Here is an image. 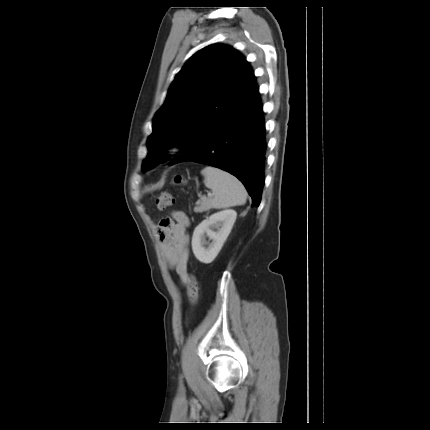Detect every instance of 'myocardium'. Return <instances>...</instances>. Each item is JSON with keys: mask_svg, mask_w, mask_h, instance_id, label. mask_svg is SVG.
<instances>
[{"mask_svg": "<svg viewBox=\"0 0 430 430\" xmlns=\"http://www.w3.org/2000/svg\"><path fill=\"white\" fill-rule=\"evenodd\" d=\"M169 151H170V152H173V151H175V149H173V148H172V149H170Z\"/></svg>", "mask_w": 430, "mask_h": 430, "instance_id": "myocardium-1", "label": "myocardium"}]
</instances>
